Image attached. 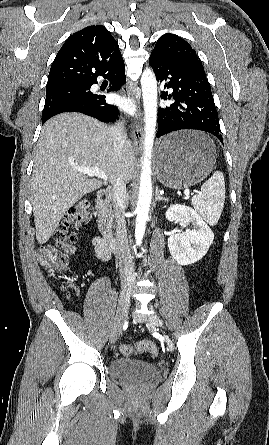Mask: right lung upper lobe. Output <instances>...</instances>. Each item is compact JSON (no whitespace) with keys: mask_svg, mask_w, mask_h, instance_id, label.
Segmentation results:
<instances>
[{"mask_svg":"<svg viewBox=\"0 0 269 445\" xmlns=\"http://www.w3.org/2000/svg\"><path fill=\"white\" fill-rule=\"evenodd\" d=\"M122 60L118 43L104 26L85 27L57 53L46 88L91 83Z\"/></svg>","mask_w":269,"mask_h":445,"instance_id":"1","label":"right lung upper lobe"}]
</instances>
